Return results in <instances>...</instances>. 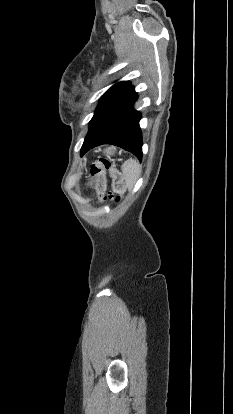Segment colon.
<instances>
[{"label":"colon","mask_w":233,"mask_h":414,"mask_svg":"<svg viewBox=\"0 0 233 414\" xmlns=\"http://www.w3.org/2000/svg\"><path fill=\"white\" fill-rule=\"evenodd\" d=\"M106 172H109L113 180V189L117 193L124 191V182L122 174L112 166L111 162L106 159H99L95 161L90 170L92 179L95 181L96 186L101 189L103 185V176ZM102 198H106L105 195H101Z\"/></svg>","instance_id":"colon-1"}]
</instances>
